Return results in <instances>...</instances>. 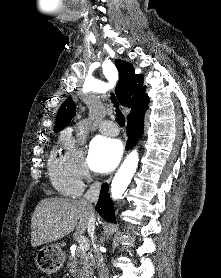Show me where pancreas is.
<instances>
[{
	"mask_svg": "<svg viewBox=\"0 0 221 278\" xmlns=\"http://www.w3.org/2000/svg\"><path fill=\"white\" fill-rule=\"evenodd\" d=\"M78 264L82 265L81 269L76 268ZM68 266L75 278H90L93 275V262L90 261V255L86 250L79 248L74 255L69 256Z\"/></svg>",
	"mask_w": 221,
	"mask_h": 278,
	"instance_id": "cf45deb5",
	"label": "pancreas"
}]
</instances>
